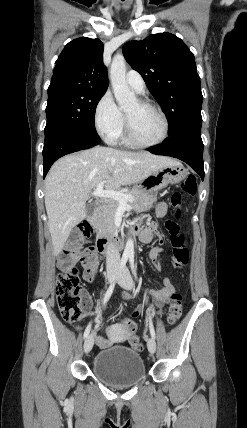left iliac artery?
<instances>
[{"mask_svg":"<svg viewBox=\"0 0 247 428\" xmlns=\"http://www.w3.org/2000/svg\"><path fill=\"white\" fill-rule=\"evenodd\" d=\"M129 262H130V267H131L132 273H133L134 277L137 278V273H136L135 266H134V257L133 256L130 257ZM139 284H140V282H139ZM148 312H149L148 321H149L150 334L155 339V330H154L153 323H152L150 308H148Z\"/></svg>","mask_w":247,"mask_h":428,"instance_id":"obj_1","label":"left iliac artery"}]
</instances>
